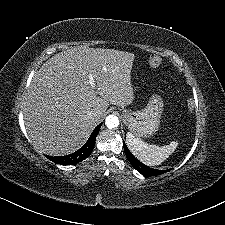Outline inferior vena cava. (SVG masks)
Returning a JSON list of instances; mask_svg holds the SVG:
<instances>
[{
    "label": "inferior vena cava",
    "instance_id": "602c4592",
    "mask_svg": "<svg viewBox=\"0 0 225 225\" xmlns=\"http://www.w3.org/2000/svg\"><path fill=\"white\" fill-rule=\"evenodd\" d=\"M88 115H89L91 118H96V117L99 115V112H97V111H89V112H88Z\"/></svg>",
    "mask_w": 225,
    "mask_h": 225
}]
</instances>
